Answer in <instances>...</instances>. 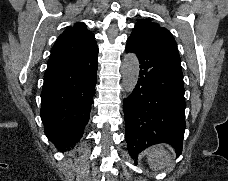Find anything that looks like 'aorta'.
<instances>
[{
	"mask_svg": "<svg viewBox=\"0 0 228 181\" xmlns=\"http://www.w3.org/2000/svg\"><path fill=\"white\" fill-rule=\"evenodd\" d=\"M121 70L123 87L128 94H131L136 87L140 70L138 58L134 53L124 56Z\"/></svg>",
	"mask_w": 228,
	"mask_h": 181,
	"instance_id": "1",
	"label": "aorta"
}]
</instances>
